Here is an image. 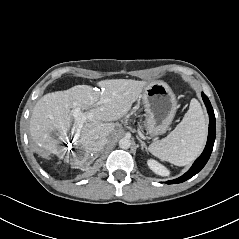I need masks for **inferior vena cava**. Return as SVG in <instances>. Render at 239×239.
Returning <instances> with one entry per match:
<instances>
[{
	"label": "inferior vena cava",
	"mask_w": 239,
	"mask_h": 239,
	"mask_svg": "<svg viewBox=\"0 0 239 239\" xmlns=\"http://www.w3.org/2000/svg\"><path fill=\"white\" fill-rule=\"evenodd\" d=\"M108 140L106 137L100 138L97 143L95 144V150L101 151L104 146L107 144Z\"/></svg>",
	"instance_id": "inferior-vena-cava-1"
}]
</instances>
